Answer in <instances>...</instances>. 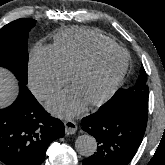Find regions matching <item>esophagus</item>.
Listing matches in <instances>:
<instances>
[{
	"label": "esophagus",
	"mask_w": 165,
	"mask_h": 165,
	"mask_svg": "<svg viewBox=\"0 0 165 165\" xmlns=\"http://www.w3.org/2000/svg\"><path fill=\"white\" fill-rule=\"evenodd\" d=\"M64 126L68 135H72L77 131V124L73 120H66L64 122Z\"/></svg>",
	"instance_id": "esophagus-1"
}]
</instances>
